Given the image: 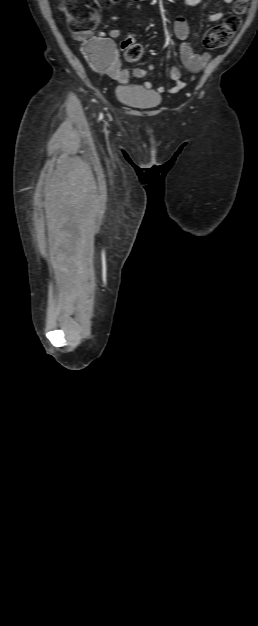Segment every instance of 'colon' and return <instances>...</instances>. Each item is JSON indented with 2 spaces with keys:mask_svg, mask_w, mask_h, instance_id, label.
Masks as SVG:
<instances>
[{
  "mask_svg": "<svg viewBox=\"0 0 258 626\" xmlns=\"http://www.w3.org/2000/svg\"><path fill=\"white\" fill-rule=\"evenodd\" d=\"M120 0H62V10L73 36L79 41H88L97 23L96 11L98 8L108 7ZM249 0H235L233 14L223 23L208 30L203 37V44L207 48L225 46L234 36L240 26V16L245 12ZM125 57L130 62L139 61L144 55V48L132 38L122 42ZM89 57L99 62L100 54L92 45L86 46Z\"/></svg>",
  "mask_w": 258,
  "mask_h": 626,
  "instance_id": "colon-1",
  "label": "colon"
}]
</instances>
